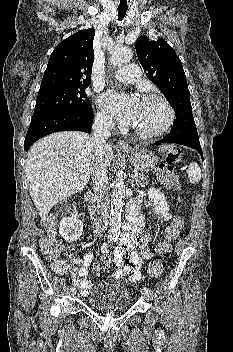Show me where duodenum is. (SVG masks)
I'll return each mask as SVG.
<instances>
[{"mask_svg":"<svg viewBox=\"0 0 233 352\" xmlns=\"http://www.w3.org/2000/svg\"><path fill=\"white\" fill-rule=\"evenodd\" d=\"M91 197H92V195H91V193L89 192L88 194H87V200H90L91 199ZM134 211V207L132 206V207H130V209H129V214H131L132 212Z\"/></svg>","mask_w":233,"mask_h":352,"instance_id":"obj_1","label":"duodenum"}]
</instances>
